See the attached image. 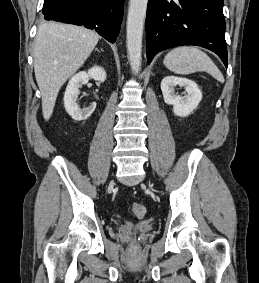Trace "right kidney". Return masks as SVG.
Returning <instances> with one entry per match:
<instances>
[{"mask_svg": "<svg viewBox=\"0 0 259 283\" xmlns=\"http://www.w3.org/2000/svg\"><path fill=\"white\" fill-rule=\"evenodd\" d=\"M89 78L99 82H104L106 80V72L104 68L94 66L87 72L81 71L77 73L70 79L64 94L65 109L72 119L76 121L86 120L91 116L96 108V103H92L89 107L81 110L77 104L79 88L83 84L88 83Z\"/></svg>", "mask_w": 259, "mask_h": 283, "instance_id": "ca27d5eb", "label": "right kidney"}]
</instances>
